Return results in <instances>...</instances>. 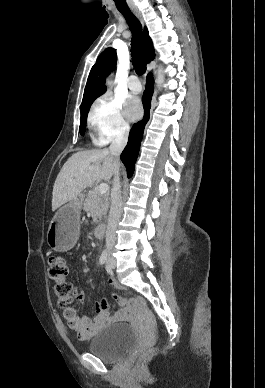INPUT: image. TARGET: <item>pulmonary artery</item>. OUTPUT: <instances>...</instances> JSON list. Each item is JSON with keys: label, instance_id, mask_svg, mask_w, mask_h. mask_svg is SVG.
<instances>
[{"label": "pulmonary artery", "instance_id": "e3ab8cb5", "mask_svg": "<svg viewBox=\"0 0 265 388\" xmlns=\"http://www.w3.org/2000/svg\"><path fill=\"white\" fill-rule=\"evenodd\" d=\"M128 81L132 82V83H130V86H129L130 90H132V92L134 94H137L139 92V90L141 89V87L139 86V83H136V82L141 81V76L140 75H129Z\"/></svg>", "mask_w": 265, "mask_h": 388}]
</instances>
